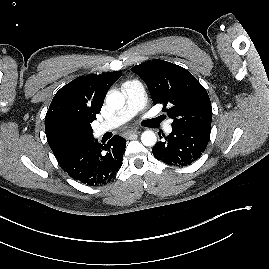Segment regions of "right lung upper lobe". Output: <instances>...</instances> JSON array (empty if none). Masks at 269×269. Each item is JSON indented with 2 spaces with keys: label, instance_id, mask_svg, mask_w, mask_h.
Here are the masks:
<instances>
[{
  "label": "right lung upper lobe",
  "instance_id": "cb5924a9",
  "mask_svg": "<svg viewBox=\"0 0 269 269\" xmlns=\"http://www.w3.org/2000/svg\"><path fill=\"white\" fill-rule=\"evenodd\" d=\"M121 75L114 71L80 76L55 94L45 116V133L57 160L93 138L91 123L101 110L107 90Z\"/></svg>",
  "mask_w": 269,
  "mask_h": 269
}]
</instances>
